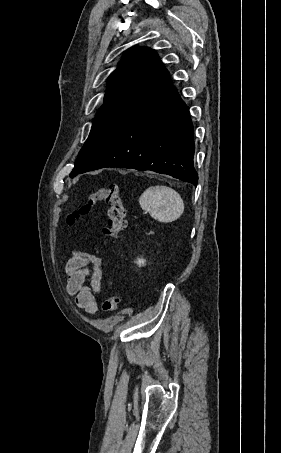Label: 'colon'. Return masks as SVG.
Segmentation results:
<instances>
[{"instance_id": "obj_1", "label": "colon", "mask_w": 281, "mask_h": 453, "mask_svg": "<svg viewBox=\"0 0 281 453\" xmlns=\"http://www.w3.org/2000/svg\"><path fill=\"white\" fill-rule=\"evenodd\" d=\"M97 204H103L109 208L107 223L101 229L102 235L108 239H116L128 227L125 199L119 183L100 187L96 192L87 195L82 205L68 216V224L76 226L83 223L87 218L89 209ZM121 301L122 297L119 293L112 294L103 301L102 311L104 313L115 312Z\"/></svg>"}]
</instances>
